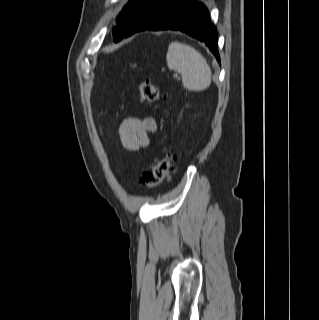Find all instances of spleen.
<instances>
[{"instance_id":"spleen-1","label":"spleen","mask_w":319,"mask_h":320,"mask_svg":"<svg viewBox=\"0 0 319 320\" xmlns=\"http://www.w3.org/2000/svg\"><path fill=\"white\" fill-rule=\"evenodd\" d=\"M166 61L170 70L179 72L183 86L190 91L205 90L211 83V70L205 58L193 47L172 42Z\"/></svg>"}]
</instances>
